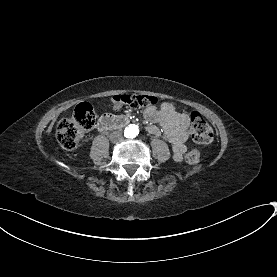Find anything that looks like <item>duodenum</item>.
<instances>
[{"mask_svg":"<svg viewBox=\"0 0 277 277\" xmlns=\"http://www.w3.org/2000/svg\"><path fill=\"white\" fill-rule=\"evenodd\" d=\"M129 121L127 116L104 115L98 120L96 128L98 131L119 129L125 127Z\"/></svg>","mask_w":277,"mask_h":277,"instance_id":"obj_1","label":"duodenum"}]
</instances>
